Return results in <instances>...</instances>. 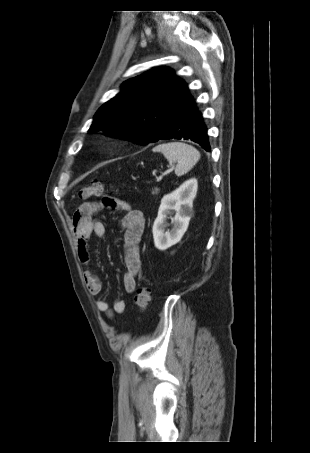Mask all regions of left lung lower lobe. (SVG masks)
<instances>
[{
	"mask_svg": "<svg viewBox=\"0 0 310 453\" xmlns=\"http://www.w3.org/2000/svg\"><path fill=\"white\" fill-rule=\"evenodd\" d=\"M166 139L191 140L206 151H210L206 124L188 87L177 104L168 127L160 137V140Z\"/></svg>",
	"mask_w": 310,
	"mask_h": 453,
	"instance_id": "1",
	"label": "left lung lower lobe"
}]
</instances>
